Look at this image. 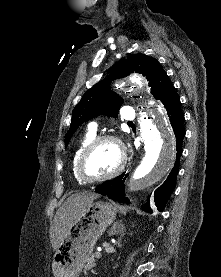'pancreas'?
I'll return each mask as SVG.
<instances>
[{"label":"pancreas","instance_id":"cf45deb5","mask_svg":"<svg viewBox=\"0 0 221 277\" xmlns=\"http://www.w3.org/2000/svg\"><path fill=\"white\" fill-rule=\"evenodd\" d=\"M95 256L96 254H92L91 257L89 258V260L87 261L86 265H85V270H90L92 269L93 267H95Z\"/></svg>","mask_w":221,"mask_h":277}]
</instances>
